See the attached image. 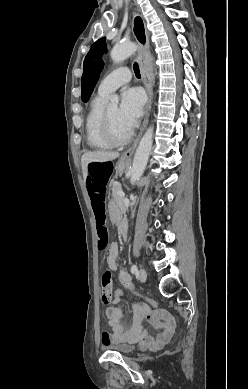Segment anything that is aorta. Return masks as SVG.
<instances>
[{
    "mask_svg": "<svg viewBox=\"0 0 248 389\" xmlns=\"http://www.w3.org/2000/svg\"><path fill=\"white\" fill-rule=\"evenodd\" d=\"M138 46L134 43H123L115 46L111 52L110 56L114 63H120L131 56ZM119 99L117 96L113 95L110 97L109 106L111 108H116L118 106ZM153 126H150L145 134L143 135L137 150L134 155L133 164L131 168V178L130 181L132 184H135L140 177L142 176L144 169L147 165L149 155L152 149L153 143Z\"/></svg>",
    "mask_w": 248,
    "mask_h": 389,
    "instance_id": "1",
    "label": "aorta"
}]
</instances>
